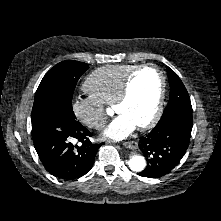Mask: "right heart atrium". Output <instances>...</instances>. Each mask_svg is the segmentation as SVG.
<instances>
[{"mask_svg":"<svg viewBox=\"0 0 221 221\" xmlns=\"http://www.w3.org/2000/svg\"><path fill=\"white\" fill-rule=\"evenodd\" d=\"M71 108L75 117L88 128L101 129L106 121V108L89 95L75 97Z\"/></svg>","mask_w":221,"mask_h":221,"instance_id":"right-heart-atrium-1","label":"right heart atrium"}]
</instances>
